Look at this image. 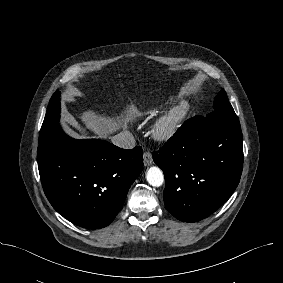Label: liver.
Wrapping results in <instances>:
<instances>
[{
	"instance_id": "6515ba94",
	"label": "liver",
	"mask_w": 283,
	"mask_h": 283,
	"mask_svg": "<svg viewBox=\"0 0 283 283\" xmlns=\"http://www.w3.org/2000/svg\"><path fill=\"white\" fill-rule=\"evenodd\" d=\"M123 114V118L121 122H119V117L115 120L113 118L102 116L93 109H87L79 115V118L85 127H82L72 116L69 117L68 121L84 134L89 130L98 138H107L118 128L122 127L125 129L127 123L140 116L141 112L134 104H130Z\"/></svg>"
}]
</instances>
